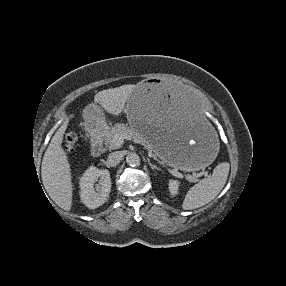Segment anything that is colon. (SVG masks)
<instances>
[{
	"mask_svg": "<svg viewBox=\"0 0 286 286\" xmlns=\"http://www.w3.org/2000/svg\"><path fill=\"white\" fill-rule=\"evenodd\" d=\"M77 141V136L75 133L70 132L65 137V148L70 151L74 148Z\"/></svg>",
	"mask_w": 286,
	"mask_h": 286,
	"instance_id": "5ec220e1",
	"label": "colon"
}]
</instances>
